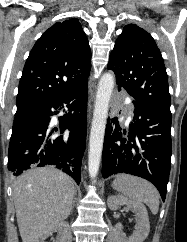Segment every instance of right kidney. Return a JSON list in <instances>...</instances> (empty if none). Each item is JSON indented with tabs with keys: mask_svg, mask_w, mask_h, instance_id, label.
<instances>
[{
	"mask_svg": "<svg viewBox=\"0 0 187 242\" xmlns=\"http://www.w3.org/2000/svg\"><path fill=\"white\" fill-rule=\"evenodd\" d=\"M67 227H68L67 223L62 222V223H60L59 225H57V226L53 229V231H58L59 234L63 235V234L66 232ZM51 234H52V231L46 233V234H45V235H44V236H43L38 242H44V240H45L49 235H51Z\"/></svg>",
	"mask_w": 187,
	"mask_h": 242,
	"instance_id": "ca27d5eb",
	"label": "right kidney"
}]
</instances>
